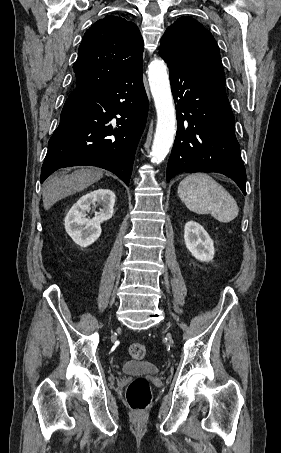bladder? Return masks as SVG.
<instances>
[{"mask_svg": "<svg viewBox=\"0 0 281 453\" xmlns=\"http://www.w3.org/2000/svg\"><path fill=\"white\" fill-rule=\"evenodd\" d=\"M122 371L132 375H154L158 373V369L148 363L140 361H127L122 366Z\"/></svg>", "mask_w": 281, "mask_h": 453, "instance_id": "obj_1", "label": "bladder"}]
</instances>
